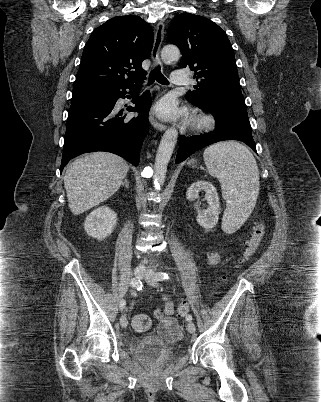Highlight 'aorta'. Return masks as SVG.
I'll use <instances>...</instances> for the list:
<instances>
[{
	"instance_id": "762f6f07",
	"label": "aorta",
	"mask_w": 321,
	"mask_h": 402,
	"mask_svg": "<svg viewBox=\"0 0 321 402\" xmlns=\"http://www.w3.org/2000/svg\"><path fill=\"white\" fill-rule=\"evenodd\" d=\"M179 57L180 51L178 47L174 45H167L161 51V58L166 64L177 61ZM177 137L178 132L173 128H169L166 130L160 141L156 154L153 175V184L157 189H160L165 182L167 166L175 148Z\"/></svg>"
}]
</instances>
